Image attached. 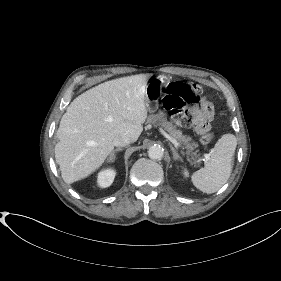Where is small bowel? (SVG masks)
Here are the masks:
<instances>
[{
	"instance_id": "obj_1",
	"label": "small bowel",
	"mask_w": 281,
	"mask_h": 281,
	"mask_svg": "<svg viewBox=\"0 0 281 281\" xmlns=\"http://www.w3.org/2000/svg\"><path fill=\"white\" fill-rule=\"evenodd\" d=\"M192 116L195 120V128L199 134L210 129V122L214 117L213 106L206 98L201 99L200 107L194 108Z\"/></svg>"
}]
</instances>
